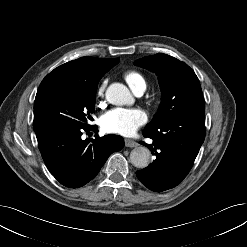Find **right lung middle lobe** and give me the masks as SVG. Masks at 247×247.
<instances>
[{
	"mask_svg": "<svg viewBox=\"0 0 247 247\" xmlns=\"http://www.w3.org/2000/svg\"><path fill=\"white\" fill-rule=\"evenodd\" d=\"M97 88L51 83L39 86L34 102L33 127L47 124L89 127Z\"/></svg>",
	"mask_w": 247,
	"mask_h": 247,
	"instance_id": "1",
	"label": "right lung middle lobe"
}]
</instances>
